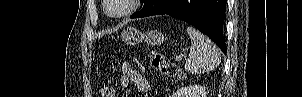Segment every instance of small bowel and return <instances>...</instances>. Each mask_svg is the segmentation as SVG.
<instances>
[{"label": "small bowel", "instance_id": "1", "mask_svg": "<svg viewBox=\"0 0 302 97\" xmlns=\"http://www.w3.org/2000/svg\"><path fill=\"white\" fill-rule=\"evenodd\" d=\"M121 83L124 87L133 84L140 92H147L150 89V83L147 78L129 64L122 65Z\"/></svg>", "mask_w": 302, "mask_h": 97}]
</instances>
